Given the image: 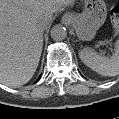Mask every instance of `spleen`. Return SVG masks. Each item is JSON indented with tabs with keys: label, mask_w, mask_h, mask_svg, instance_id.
Instances as JSON below:
<instances>
[{
	"label": "spleen",
	"mask_w": 119,
	"mask_h": 119,
	"mask_svg": "<svg viewBox=\"0 0 119 119\" xmlns=\"http://www.w3.org/2000/svg\"><path fill=\"white\" fill-rule=\"evenodd\" d=\"M80 59L102 76L114 77L119 74V43L111 58L102 57L93 50L86 49L80 53Z\"/></svg>",
	"instance_id": "3e777b00"
}]
</instances>
